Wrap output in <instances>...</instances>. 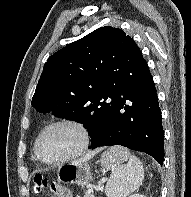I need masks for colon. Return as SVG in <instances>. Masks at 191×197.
Segmentation results:
<instances>
[{
    "mask_svg": "<svg viewBox=\"0 0 191 197\" xmlns=\"http://www.w3.org/2000/svg\"><path fill=\"white\" fill-rule=\"evenodd\" d=\"M48 187H50L54 193H57L61 197H68V192L66 190H62L55 184H49V180L45 176L41 174L34 175L33 190L36 194L44 192Z\"/></svg>",
    "mask_w": 191,
    "mask_h": 197,
    "instance_id": "obj_1",
    "label": "colon"
}]
</instances>
